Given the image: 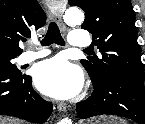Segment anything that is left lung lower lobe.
<instances>
[{
    "label": "left lung lower lobe",
    "mask_w": 145,
    "mask_h": 124,
    "mask_svg": "<svg viewBox=\"0 0 145 124\" xmlns=\"http://www.w3.org/2000/svg\"><path fill=\"white\" fill-rule=\"evenodd\" d=\"M93 86L92 95L76 105L79 118L112 114L132 119L138 124H145L143 79L127 74H115L100 85Z\"/></svg>",
    "instance_id": "1"
}]
</instances>
